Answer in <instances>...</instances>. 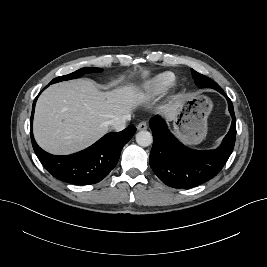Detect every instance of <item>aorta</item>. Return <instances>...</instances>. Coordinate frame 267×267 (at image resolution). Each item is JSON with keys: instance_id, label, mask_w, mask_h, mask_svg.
<instances>
[{"instance_id": "aorta-1", "label": "aorta", "mask_w": 267, "mask_h": 267, "mask_svg": "<svg viewBox=\"0 0 267 267\" xmlns=\"http://www.w3.org/2000/svg\"><path fill=\"white\" fill-rule=\"evenodd\" d=\"M152 141V134L148 131L143 130L136 134V142L142 147H147L151 145Z\"/></svg>"}]
</instances>
